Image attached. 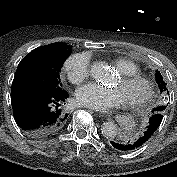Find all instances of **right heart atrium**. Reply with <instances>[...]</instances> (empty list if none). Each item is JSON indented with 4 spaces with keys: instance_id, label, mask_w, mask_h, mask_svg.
Segmentation results:
<instances>
[{
    "instance_id": "right-heart-atrium-1",
    "label": "right heart atrium",
    "mask_w": 177,
    "mask_h": 177,
    "mask_svg": "<svg viewBox=\"0 0 177 177\" xmlns=\"http://www.w3.org/2000/svg\"><path fill=\"white\" fill-rule=\"evenodd\" d=\"M64 71L72 83L79 84L83 82L90 74L88 54L80 53L70 56L64 64Z\"/></svg>"
}]
</instances>
